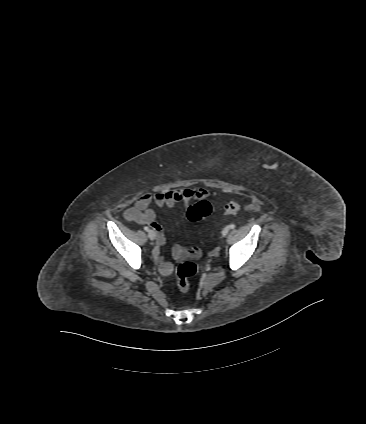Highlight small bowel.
Wrapping results in <instances>:
<instances>
[{
	"instance_id": "c3829d8e",
	"label": "small bowel",
	"mask_w": 366,
	"mask_h": 424,
	"mask_svg": "<svg viewBox=\"0 0 366 424\" xmlns=\"http://www.w3.org/2000/svg\"><path fill=\"white\" fill-rule=\"evenodd\" d=\"M209 196V191L202 187H185L176 190H163L152 194H142L134 202L133 206L126 209L124 217L129 222L139 224H150L157 235V245L153 254L158 261L161 271L168 274L171 271V265L162 259V247L166 243V238L162 227L155 222L156 214L149 206L153 202L158 207H173L177 203L188 205L191 201L202 200ZM176 254L183 252L180 246L174 247Z\"/></svg>"
}]
</instances>
